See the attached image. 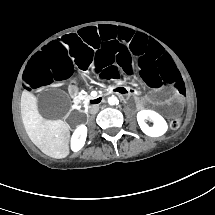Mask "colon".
<instances>
[{
    "label": "colon",
    "instance_id": "colon-1",
    "mask_svg": "<svg viewBox=\"0 0 215 215\" xmlns=\"http://www.w3.org/2000/svg\"><path fill=\"white\" fill-rule=\"evenodd\" d=\"M180 124H181V119L179 117H176V118H173L171 119L170 121V126L171 128L173 129H177L180 127Z\"/></svg>",
    "mask_w": 215,
    "mask_h": 215
}]
</instances>
